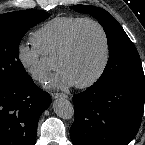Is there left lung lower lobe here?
Masks as SVG:
<instances>
[{
	"label": "left lung lower lobe",
	"instance_id": "obj_1",
	"mask_svg": "<svg viewBox=\"0 0 145 145\" xmlns=\"http://www.w3.org/2000/svg\"><path fill=\"white\" fill-rule=\"evenodd\" d=\"M145 78L89 87L73 96L74 145H127L137 134L144 110Z\"/></svg>",
	"mask_w": 145,
	"mask_h": 145
}]
</instances>
